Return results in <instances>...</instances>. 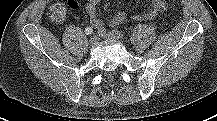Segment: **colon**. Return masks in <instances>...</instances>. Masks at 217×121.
I'll return each instance as SVG.
<instances>
[{"instance_id":"colon-1","label":"colon","mask_w":217,"mask_h":121,"mask_svg":"<svg viewBox=\"0 0 217 121\" xmlns=\"http://www.w3.org/2000/svg\"><path fill=\"white\" fill-rule=\"evenodd\" d=\"M48 17L56 23L63 22L67 15V7L62 2L52 4L48 8Z\"/></svg>"}]
</instances>
